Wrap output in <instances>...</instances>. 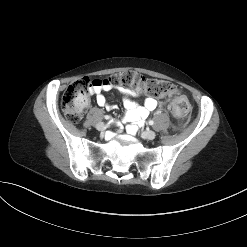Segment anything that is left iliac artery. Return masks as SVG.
<instances>
[{"label": "left iliac artery", "instance_id": "44dca946", "mask_svg": "<svg viewBox=\"0 0 247 247\" xmlns=\"http://www.w3.org/2000/svg\"><path fill=\"white\" fill-rule=\"evenodd\" d=\"M149 125H153L154 124V121L153 120H149Z\"/></svg>", "mask_w": 247, "mask_h": 247}]
</instances>
